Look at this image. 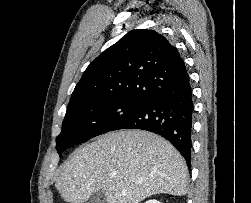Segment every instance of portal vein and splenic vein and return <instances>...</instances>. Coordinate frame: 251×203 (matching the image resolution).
Returning <instances> with one entry per match:
<instances>
[{
  "label": "portal vein and splenic vein",
  "mask_w": 251,
  "mask_h": 203,
  "mask_svg": "<svg viewBox=\"0 0 251 203\" xmlns=\"http://www.w3.org/2000/svg\"><path fill=\"white\" fill-rule=\"evenodd\" d=\"M115 175H116L115 173H112V174H111L112 177H115Z\"/></svg>",
  "instance_id": "portal-vein-and-splenic-vein-1"
}]
</instances>
